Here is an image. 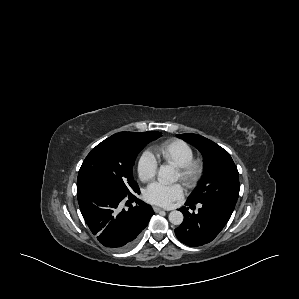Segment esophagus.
<instances>
[{"mask_svg":"<svg viewBox=\"0 0 299 299\" xmlns=\"http://www.w3.org/2000/svg\"><path fill=\"white\" fill-rule=\"evenodd\" d=\"M153 210H154V212H160V211H165V209H162V208H160V207H157V206H155V207H153Z\"/></svg>","mask_w":299,"mask_h":299,"instance_id":"esophagus-1","label":"esophagus"}]
</instances>
